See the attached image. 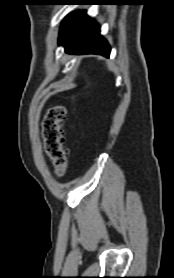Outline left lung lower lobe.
Masks as SVG:
<instances>
[{
  "label": "left lung lower lobe",
  "instance_id": "obj_1",
  "mask_svg": "<svg viewBox=\"0 0 174 278\" xmlns=\"http://www.w3.org/2000/svg\"><path fill=\"white\" fill-rule=\"evenodd\" d=\"M93 1L85 0L80 4L91 5ZM99 32V26L85 12H77L73 16L68 35L59 44L65 47L67 53L109 57L110 46Z\"/></svg>",
  "mask_w": 174,
  "mask_h": 278
}]
</instances>
